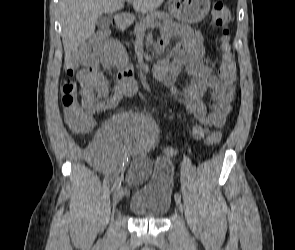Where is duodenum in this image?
Instances as JSON below:
<instances>
[{
  "mask_svg": "<svg viewBox=\"0 0 295 250\" xmlns=\"http://www.w3.org/2000/svg\"><path fill=\"white\" fill-rule=\"evenodd\" d=\"M130 22V14L126 11L117 13L114 16V26L117 30H124L128 27Z\"/></svg>",
  "mask_w": 295,
  "mask_h": 250,
  "instance_id": "duodenum-1",
  "label": "duodenum"
}]
</instances>
